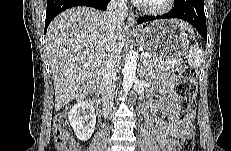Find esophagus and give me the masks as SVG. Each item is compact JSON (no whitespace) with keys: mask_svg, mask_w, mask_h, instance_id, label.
I'll use <instances>...</instances> for the list:
<instances>
[{"mask_svg":"<svg viewBox=\"0 0 231 151\" xmlns=\"http://www.w3.org/2000/svg\"><path fill=\"white\" fill-rule=\"evenodd\" d=\"M127 23L129 26H132L134 27L135 26V23H136V17H135V14L133 12H129L128 15H127V19H126Z\"/></svg>","mask_w":231,"mask_h":151,"instance_id":"obj_1","label":"esophagus"}]
</instances>
